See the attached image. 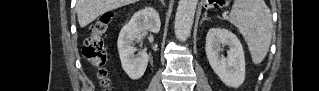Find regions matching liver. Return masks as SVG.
<instances>
[{"label": "liver", "instance_id": "liver-1", "mask_svg": "<svg viewBox=\"0 0 319 91\" xmlns=\"http://www.w3.org/2000/svg\"><path fill=\"white\" fill-rule=\"evenodd\" d=\"M136 0H77L76 12L81 27L93 22L107 11L132 4Z\"/></svg>", "mask_w": 319, "mask_h": 91}]
</instances>
